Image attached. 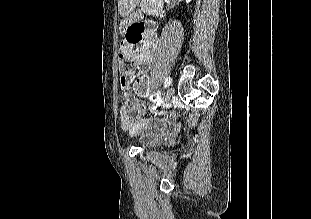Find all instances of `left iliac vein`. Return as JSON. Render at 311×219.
Listing matches in <instances>:
<instances>
[{
    "mask_svg": "<svg viewBox=\"0 0 311 219\" xmlns=\"http://www.w3.org/2000/svg\"><path fill=\"white\" fill-rule=\"evenodd\" d=\"M174 92H175V90H174L173 87H170V88L167 90L166 95H165V102H166V103L171 102V100H172V98H173V96H174Z\"/></svg>",
    "mask_w": 311,
    "mask_h": 219,
    "instance_id": "left-iliac-vein-1",
    "label": "left iliac vein"
}]
</instances>
